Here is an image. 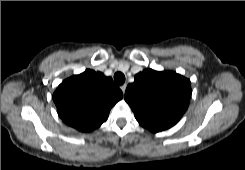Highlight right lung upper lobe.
Here are the masks:
<instances>
[{"mask_svg":"<svg viewBox=\"0 0 245 170\" xmlns=\"http://www.w3.org/2000/svg\"><path fill=\"white\" fill-rule=\"evenodd\" d=\"M122 97L111 77L90 69L64 80L53 94L59 117L82 132L104 123L112 106Z\"/></svg>","mask_w":245,"mask_h":170,"instance_id":"1","label":"right lung upper lobe"}]
</instances>
